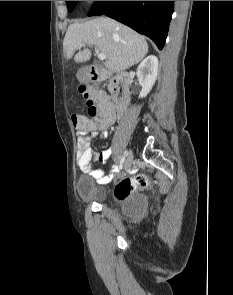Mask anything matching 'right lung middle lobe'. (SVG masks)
Wrapping results in <instances>:
<instances>
[{
	"label": "right lung middle lobe",
	"instance_id": "dd1d6c3e",
	"mask_svg": "<svg viewBox=\"0 0 233 295\" xmlns=\"http://www.w3.org/2000/svg\"><path fill=\"white\" fill-rule=\"evenodd\" d=\"M78 1H66L68 10L71 11L74 7V3H77Z\"/></svg>",
	"mask_w": 233,
	"mask_h": 295
}]
</instances>
